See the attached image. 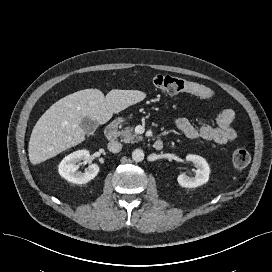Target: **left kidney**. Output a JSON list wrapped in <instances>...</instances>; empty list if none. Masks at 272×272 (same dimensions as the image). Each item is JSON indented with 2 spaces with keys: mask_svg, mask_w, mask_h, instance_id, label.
Masks as SVG:
<instances>
[{
  "mask_svg": "<svg viewBox=\"0 0 272 272\" xmlns=\"http://www.w3.org/2000/svg\"><path fill=\"white\" fill-rule=\"evenodd\" d=\"M186 160L196 166V174L194 177L187 176L184 173L180 174L177 178L179 185L185 188H195L205 184L209 180L210 175L207 161L203 157L194 154H188Z\"/></svg>",
  "mask_w": 272,
  "mask_h": 272,
  "instance_id": "obj_1",
  "label": "left kidney"
}]
</instances>
